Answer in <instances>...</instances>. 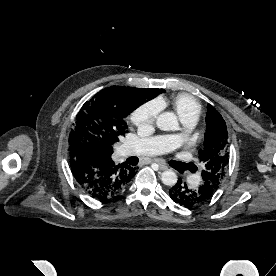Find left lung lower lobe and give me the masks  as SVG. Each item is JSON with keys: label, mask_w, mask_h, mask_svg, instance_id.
<instances>
[{"label": "left lung lower lobe", "mask_w": 276, "mask_h": 276, "mask_svg": "<svg viewBox=\"0 0 276 276\" xmlns=\"http://www.w3.org/2000/svg\"><path fill=\"white\" fill-rule=\"evenodd\" d=\"M213 193L214 190L208 183H202L195 188H188L181 179L169 190L171 199L186 208L204 204L212 197Z\"/></svg>", "instance_id": "1"}]
</instances>
